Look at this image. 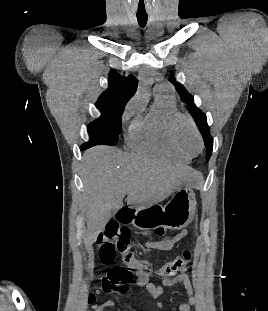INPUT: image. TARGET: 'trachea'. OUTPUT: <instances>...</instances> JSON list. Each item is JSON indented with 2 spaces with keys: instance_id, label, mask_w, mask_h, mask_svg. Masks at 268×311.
<instances>
[{
  "instance_id": "trachea-1",
  "label": "trachea",
  "mask_w": 268,
  "mask_h": 311,
  "mask_svg": "<svg viewBox=\"0 0 268 311\" xmlns=\"http://www.w3.org/2000/svg\"><path fill=\"white\" fill-rule=\"evenodd\" d=\"M148 16L147 15H138L137 14V20L140 27H145L147 23Z\"/></svg>"
}]
</instances>
